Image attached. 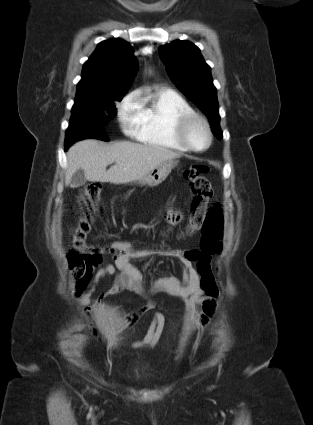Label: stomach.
<instances>
[{
    "mask_svg": "<svg viewBox=\"0 0 313 425\" xmlns=\"http://www.w3.org/2000/svg\"><path fill=\"white\" fill-rule=\"evenodd\" d=\"M176 164L177 162L173 159L163 161L157 167L152 169L147 175L139 179V184L148 185L151 187L161 184L167 178Z\"/></svg>",
    "mask_w": 313,
    "mask_h": 425,
    "instance_id": "stomach-1",
    "label": "stomach"
}]
</instances>
